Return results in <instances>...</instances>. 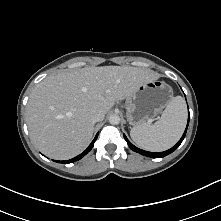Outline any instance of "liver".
Wrapping results in <instances>:
<instances>
[{
	"mask_svg": "<svg viewBox=\"0 0 221 221\" xmlns=\"http://www.w3.org/2000/svg\"><path fill=\"white\" fill-rule=\"evenodd\" d=\"M158 77L130 66L85 67L48 76L35 86L26 106L30 137L49 158H73L92 139L95 113L106 114L116 101Z\"/></svg>",
	"mask_w": 221,
	"mask_h": 221,
	"instance_id": "liver-1",
	"label": "liver"
}]
</instances>
